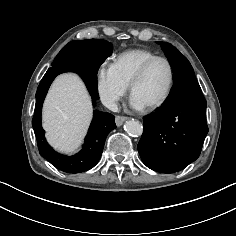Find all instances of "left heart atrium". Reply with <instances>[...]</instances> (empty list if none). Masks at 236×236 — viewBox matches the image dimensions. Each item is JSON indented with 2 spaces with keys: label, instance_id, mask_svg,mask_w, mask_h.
I'll use <instances>...</instances> for the list:
<instances>
[{
  "label": "left heart atrium",
  "instance_id": "left-heart-atrium-1",
  "mask_svg": "<svg viewBox=\"0 0 236 236\" xmlns=\"http://www.w3.org/2000/svg\"><path fill=\"white\" fill-rule=\"evenodd\" d=\"M131 105L135 109H142L144 108V104L135 96L131 97Z\"/></svg>",
  "mask_w": 236,
  "mask_h": 236
}]
</instances>
